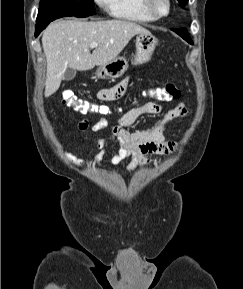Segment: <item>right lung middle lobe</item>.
Masks as SVG:
<instances>
[{"mask_svg":"<svg viewBox=\"0 0 243 289\" xmlns=\"http://www.w3.org/2000/svg\"><path fill=\"white\" fill-rule=\"evenodd\" d=\"M62 13L69 16L84 17L95 13L93 0H41L40 15Z\"/></svg>","mask_w":243,"mask_h":289,"instance_id":"right-lung-middle-lobe-1","label":"right lung middle lobe"}]
</instances>
